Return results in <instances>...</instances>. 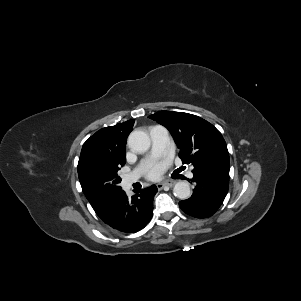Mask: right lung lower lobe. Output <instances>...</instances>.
<instances>
[{
    "label": "right lung lower lobe",
    "mask_w": 301,
    "mask_h": 301,
    "mask_svg": "<svg viewBox=\"0 0 301 301\" xmlns=\"http://www.w3.org/2000/svg\"><path fill=\"white\" fill-rule=\"evenodd\" d=\"M129 199L124 191L100 218L109 226L126 233L143 229L153 215V197L157 187L140 189Z\"/></svg>",
    "instance_id": "1"
}]
</instances>
